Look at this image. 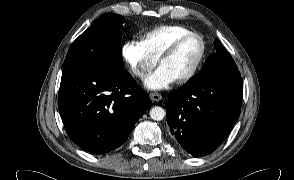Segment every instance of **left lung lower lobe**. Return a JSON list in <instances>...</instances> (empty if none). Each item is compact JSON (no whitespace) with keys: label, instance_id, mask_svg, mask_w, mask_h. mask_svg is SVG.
I'll return each instance as SVG.
<instances>
[{"label":"left lung lower lobe","instance_id":"0a47b994","mask_svg":"<svg viewBox=\"0 0 294 180\" xmlns=\"http://www.w3.org/2000/svg\"><path fill=\"white\" fill-rule=\"evenodd\" d=\"M242 94L241 77L185 84L170 92L165 106L172 138L194 157L212 153L238 120Z\"/></svg>","mask_w":294,"mask_h":180}]
</instances>
